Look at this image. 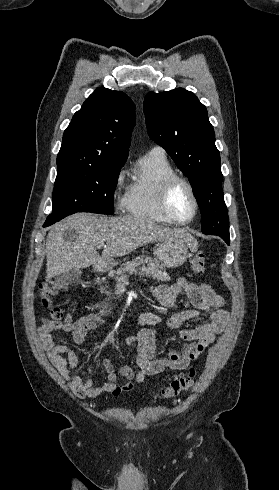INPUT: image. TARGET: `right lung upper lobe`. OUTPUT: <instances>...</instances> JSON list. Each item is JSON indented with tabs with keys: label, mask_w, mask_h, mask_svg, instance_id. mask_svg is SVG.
<instances>
[{
	"label": "right lung upper lobe",
	"mask_w": 279,
	"mask_h": 490,
	"mask_svg": "<svg viewBox=\"0 0 279 490\" xmlns=\"http://www.w3.org/2000/svg\"><path fill=\"white\" fill-rule=\"evenodd\" d=\"M135 111L121 91L99 88L64 131L57 167L125 163Z\"/></svg>",
	"instance_id": "1"
}]
</instances>
